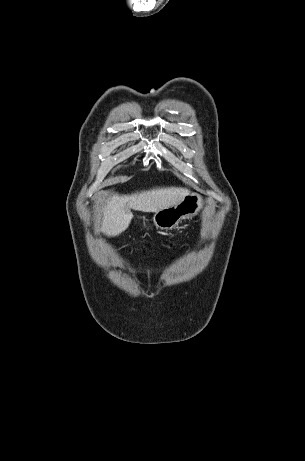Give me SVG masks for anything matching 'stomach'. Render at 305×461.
Returning a JSON list of instances; mask_svg holds the SVG:
<instances>
[{
	"instance_id": "0dacf381",
	"label": "stomach",
	"mask_w": 305,
	"mask_h": 461,
	"mask_svg": "<svg viewBox=\"0 0 305 461\" xmlns=\"http://www.w3.org/2000/svg\"><path fill=\"white\" fill-rule=\"evenodd\" d=\"M204 206L203 197L198 193H188L177 205L156 212L152 218L154 225L162 230H171L187 218H192Z\"/></svg>"
}]
</instances>
